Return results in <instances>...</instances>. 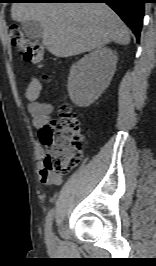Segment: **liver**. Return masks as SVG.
I'll return each mask as SVG.
<instances>
[{"label": "liver", "mask_w": 156, "mask_h": 266, "mask_svg": "<svg viewBox=\"0 0 156 266\" xmlns=\"http://www.w3.org/2000/svg\"><path fill=\"white\" fill-rule=\"evenodd\" d=\"M11 17L43 27V45L57 57H70L114 41L130 43L129 30L104 3H13Z\"/></svg>", "instance_id": "6515ba94"}]
</instances>
